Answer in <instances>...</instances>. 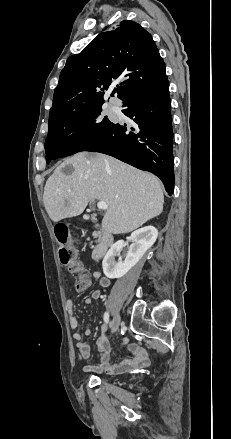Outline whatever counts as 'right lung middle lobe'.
<instances>
[{
    "mask_svg": "<svg viewBox=\"0 0 231 439\" xmlns=\"http://www.w3.org/2000/svg\"><path fill=\"white\" fill-rule=\"evenodd\" d=\"M95 106L48 122L46 162L85 151L115 125Z\"/></svg>",
    "mask_w": 231,
    "mask_h": 439,
    "instance_id": "1",
    "label": "right lung middle lobe"
}]
</instances>
